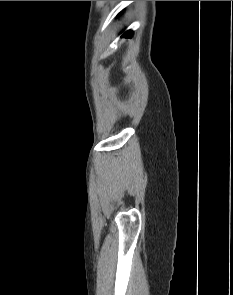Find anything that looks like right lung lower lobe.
<instances>
[{"label":"right lung lower lobe","mask_w":233,"mask_h":295,"mask_svg":"<svg viewBox=\"0 0 233 295\" xmlns=\"http://www.w3.org/2000/svg\"><path fill=\"white\" fill-rule=\"evenodd\" d=\"M132 36V31H126L123 35H122V37H127V38H130Z\"/></svg>","instance_id":"right-lung-lower-lobe-1"}]
</instances>
